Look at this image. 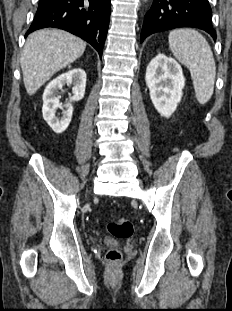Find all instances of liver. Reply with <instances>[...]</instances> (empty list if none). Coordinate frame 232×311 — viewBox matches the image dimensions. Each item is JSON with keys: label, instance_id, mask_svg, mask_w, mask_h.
<instances>
[{"label": "liver", "instance_id": "liver-1", "mask_svg": "<svg viewBox=\"0 0 232 311\" xmlns=\"http://www.w3.org/2000/svg\"><path fill=\"white\" fill-rule=\"evenodd\" d=\"M86 43L66 31L43 29L26 40L21 68L25 89L33 95L56 72L82 56Z\"/></svg>", "mask_w": 232, "mask_h": 311}]
</instances>
